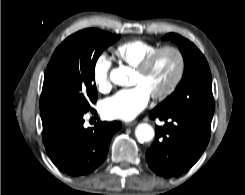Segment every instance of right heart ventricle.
I'll use <instances>...</instances> for the list:
<instances>
[{"label":"right heart ventricle","instance_id":"obj_1","mask_svg":"<svg viewBox=\"0 0 245 195\" xmlns=\"http://www.w3.org/2000/svg\"><path fill=\"white\" fill-rule=\"evenodd\" d=\"M159 47L144 40H130L118 45L114 54L123 63L136 68L147 56Z\"/></svg>","mask_w":245,"mask_h":195}]
</instances>
